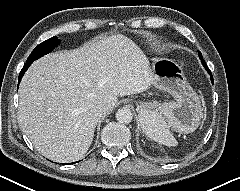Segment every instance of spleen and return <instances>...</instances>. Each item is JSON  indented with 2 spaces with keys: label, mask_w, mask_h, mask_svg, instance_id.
<instances>
[{
  "label": "spleen",
  "mask_w": 240,
  "mask_h": 191,
  "mask_svg": "<svg viewBox=\"0 0 240 191\" xmlns=\"http://www.w3.org/2000/svg\"><path fill=\"white\" fill-rule=\"evenodd\" d=\"M140 123L143 132L150 139L166 146H176L178 144L169 130L165 117H162L157 111H150L142 115Z\"/></svg>",
  "instance_id": "3e777b00"
}]
</instances>
